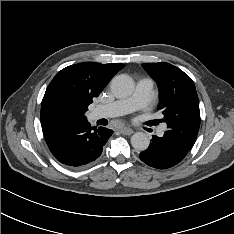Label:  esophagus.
I'll return each instance as SVG.
<instances>
[{
  "instance_id": "1",
  "label": "esophagus",
  "mask_w": 234,
  "mask_h": 234,
  "mask_svg": "<svg viewBox=\"0 0 234 234\" xmlns=\"http://www.w3.org/2000/svg\"><path fill=\"white\" fill-rule=\"evenodd\" d=\"M119 131L124 135H131L134 132L133 129H131L129 127H123Z\"/></svg>"
}]
</instances>
